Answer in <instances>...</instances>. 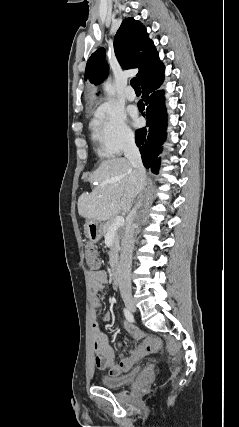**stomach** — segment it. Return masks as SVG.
I'll use <instances>...</instances> for the list:
<instances>
[{"mask_svg": "<svg viewBox=\"0 0 239 427\" xmlns=\"http://www.w3.org/2000/svg\"><path fill=\"white\" fill-rule=\"evenodd\" d=\"M84 229L86 237L92 243H97L103 236V223L101 221L88 219Z\"/></svg>", "mask_w": 239, "mask_h": 427, "instance_id": "1", "label": "stomach"}]
</instances>
